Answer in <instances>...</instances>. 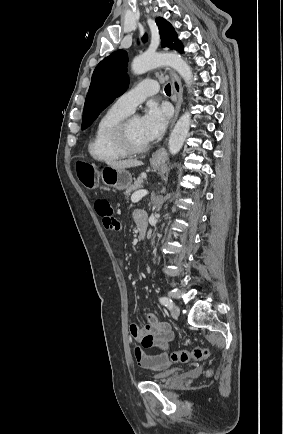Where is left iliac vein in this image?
Returning <instances> with one entry per match:
<instances>
[{
  "label": "left iliac vein",
  "instance_id": "left-iliac-vein-1",
  "mask_svg": "<svg viewBox=\"0 0 283 434\" xmlns=\"http://www.w3.org/2000/svg\"><path fill=\"white\" fill-rule=\"evenodd\" d=\"M171 315L173 318H178L180 315V308L176 305L172 306Z\"/></svg>",
  "mask_w": 283,
  "mask_h": 434
}]
</instances>
